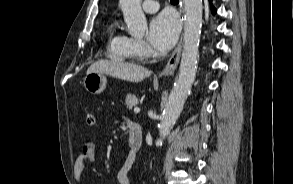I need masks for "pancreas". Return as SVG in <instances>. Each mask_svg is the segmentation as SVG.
<instances>
[{
  "label": "pancreas",
  "instance_id": "1",
  "mask_svg": "<svg viewBox=\"0 0 293 184\" xmlns=\"http://www.w3.org/2000/svg\"><path fill=\"white\" fill-rule=\"evenodd\" d=\"M138 98L135 95L128 94L125 99V103L128 109H132L138 104Z\"/></svg>",
  "mask_w": 293,
  "mask_h": 184
}]
</instances>
